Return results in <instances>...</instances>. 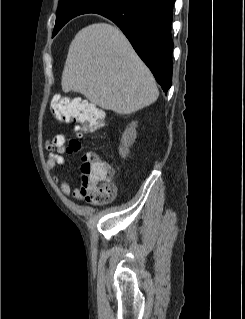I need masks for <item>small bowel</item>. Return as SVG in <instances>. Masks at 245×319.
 Here are the masks:
<instances>
[{"mask_svg": "<svg viewBox=\"0 0 245 319\" xmlns=\"http://www.w3.org/2000/svg\"><path fill=\"white\" fill-rule=\"evenodd\" d=\"M66 136L62 133L55 135L51 140L45 142V148L49 154L47 157V167L50 171H53L57 166L65 164L64 154L67 151L66 148ZM53 180L59 183L57 176H53ZM61 190L66 196H73L77 200H82L83 195L79 188H73L67 179H63L60 182Z\"/></svg>", "mask_w": 245, "mask_h": 319, "instance_id": "obj_1", "label": "small bowel"}]
</instances>
